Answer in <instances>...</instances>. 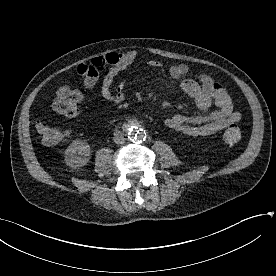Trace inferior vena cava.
Returning <instances> with one entry per match:
<instances>
[{"mask_svg":"<svg viewBox=\"0 0 276 276\" xmlns=\"http://www.w3.org/2000/svg\"><path fill=\"white\" fill-rule=\"evenodd\" d=\"M113 140L116 144H123L125 142L124 133L121 131H116L113 135Z\"/></svg>","mask_w":276,"mask_h":276,"instance_id":"1","label":"inferior vena cava"}]
</instances>
